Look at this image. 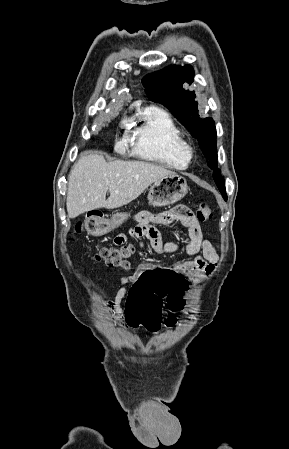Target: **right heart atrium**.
<instances>
[{
  "label": "right heart atrium",
  "mask_w": 289,
  "mask_h": 449,
  "mask_svg": "<svg viewBox=\"0 0 289 449\" xmlns=\"http://www.w3.org/2000/svg\"><path fill=\"white\" fill-rule=\"evenodd\" d=\"M121 126H122V127H127V121H125V120L122 121V122H121Z\"/></svg>",
  "instance_id": "1"
}]
</instances>
